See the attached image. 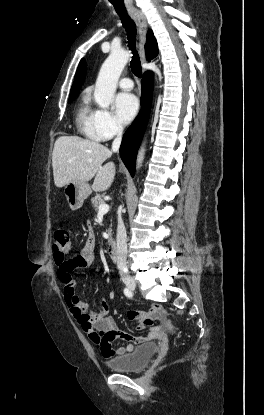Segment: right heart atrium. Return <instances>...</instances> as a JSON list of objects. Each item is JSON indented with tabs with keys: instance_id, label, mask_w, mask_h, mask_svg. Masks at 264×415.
<instances>
[{
	"instance_id": "1",
	"label": "right heart atrium",
	"mask_w": 264,
	"mask_h": 415,
	"mask_svg": "<svg viewBox=\"0 0 264 415\" xmlns=\"http://www.w3.org/2000/svg\"><path fill=\"white\" fill-rule=\"evenodd\" d=\"M96 126L103 139L111 138L123 129L115 115L105 109L96 110Z\"/></svg>"
}]
</instances>
